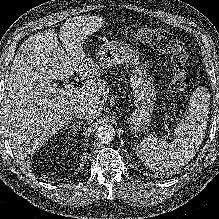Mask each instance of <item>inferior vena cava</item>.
I'll return each instance as SVG.
<instances>
[{"mask_svg": "<svg viewBox=\"0 0 219 219\" xmlns=\"http://www.w3.org/2000/svg\"><path fill=\"white\" fill-rule=\"evenodd\" d=\"M73 114H75V117L78 119H88L92 114V110L84 106L77 105L73 111Z\"/></svg>", "mask_w": 219, "mask_h": 219, "instance_id": "1", "label": "inferior vena cava"}]
</instances>
